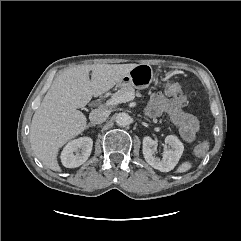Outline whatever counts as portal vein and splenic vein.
I'll list each match as a JSON object with an SVG mask.
<instances>
[{"instance_id":"1","label":"portal vein and splenic vein","mask_w":241,"mask_h":241,"mask_svg":"<svg viewBox=\"0 0 241 241\" xmlns=\"http://www.w3.org/2000/svg\"><path fill=\"white\" fill-rule=\"evenodd\" d=\"M134 98H135V94L132 92H129V93H126L123 95H119V96H113L111 99L106 101L105 106L106 107L115 106L120 103H125L128 101H131Z\"/></svg>"}]
</instances>
